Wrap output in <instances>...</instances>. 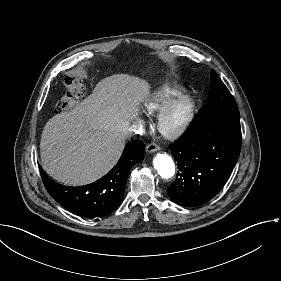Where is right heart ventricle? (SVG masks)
Masks as SVG:
<instances>
[{
	"instance_id": "1",
	"label": "right heart ventricle",
	"mask_w": 281,
	"mask_h": 281,
	"mask_svg": "<svg viewBox=\"0 0 281 281\" xmlns=\"http://www.w3.org/2000/svg\"><path fill=\"white\" fill-rule=\"evenodd\" d=\"M182 90L180 86L166 85L142 97L138 104L143 111L152 114L160 110L171 99L178 96Z\"/></svg>"
}]
</instances>
